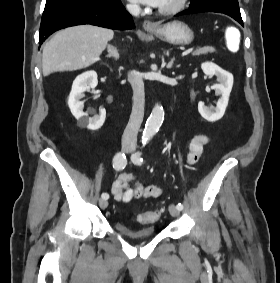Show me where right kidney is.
<instances>
[{
  "label": "right kidney",
  "mask_w": 280,
  "mask_h": 283,
  "mask_svg": "<svg viewBox=\"0 0 280 283\" xmlns=\"http://www.w3.org/2000/svg\"><path fill=\"white\" fill-rule=\"evenodd\" d=\"M97 73L95 71H87L77 76L73 81L72 90L68 98V105L71 113L78 121V126L88 128L89 130H98L102 127L106 118V110L100 109L99 115L89 116L93 114V110L84 112V102L80 101L84 97V92L89 91L97 86Z\"/></svg>",
  "instance_id": "1"
}]
</instances>
